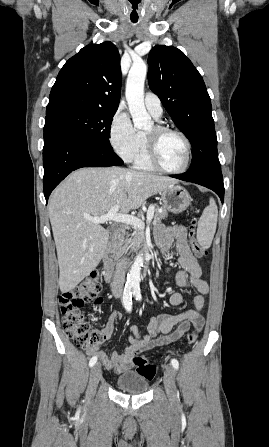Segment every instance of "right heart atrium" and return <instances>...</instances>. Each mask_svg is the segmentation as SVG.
I'll use <instances>...</instances> for the list:
<instances>
[{
	"label": "right heart atrium",
	"instance_id": "1",
	"mask_svg": "<svg viewBox=\"0 0 269 447\" xmlns=\"http://www.w3.org/2000/svg\"><path fill=\"white\" fill-rule=\"evenodd\" d=\"M109 142L124 160L133 159L138 147V132L135 130L129 114L122 109L116 110L111 119Z\"/></svg>",
	"mask_w": 269,
	"mask_h": 447
}]
</instances>
